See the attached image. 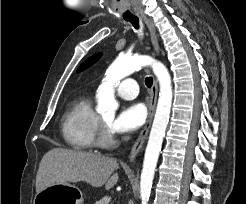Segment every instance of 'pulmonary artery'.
<instances>
[{"label": "pulmonary artery", "instance_id": "e3ab8cb5", "mask_svg": "<svg viewBox=\"0 0 246 204\" xmlns=\"http://www.w3.org/2000/svg\"><path fill=\"white\" fill-rule=\"evenodd\" d=\"M117 94L123 99H134L139 93L137 82L132 78L122 80L116 88Z\"/></svg>", "mask_w": 246, "mask_h": 204}]
</instances>
